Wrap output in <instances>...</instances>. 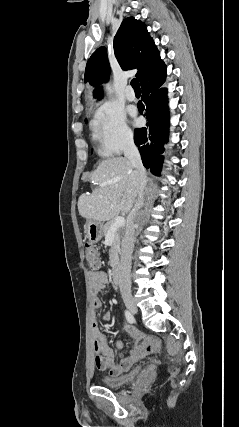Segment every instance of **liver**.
Here are the masks:
<instances>
[{
  "label": "liver",
  "instance_id": "obj_1",
  "mask_svg": "<svg viewBox=\"0 0 239 427\" xmlns=\"http://www.w3.org/2000/svg\"><path fill=\"white\" fill-rule=\"evenodd\" d=\"M97 186L83 193L78 200L79 214L105 222L120 213H129L138 197V176L127 158L115 157L101 161L90 176Z\"/></svg>",
  "mask_w": 239,
  "mask_h": 427
}]
</instances>
